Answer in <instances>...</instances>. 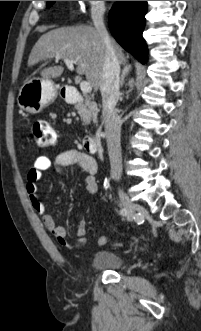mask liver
Here are the masks:
<instances>
[{
	"label": "liver",
	"instance_id": "obj_1",
	"mask_svg": "<svg viewBox=\"0 0 201 331\" xmlns=\"http://www.w3.org/2000/svg\"><path fill=\"white\" fill-rule=\"evenodd\" d=\"M119 64H123L128 71L127 59L122 48L111 39ZM106 46L101 34L89 26L62 27L43 34L34 45L28 66H34L40 61L54 58L57 54L62 59L73 60L76 72L85 75L94 91H97L103 82V64ZM62 65L49 67L40 72L45 79L58 78L62 75Z\"/></svg>",
	"mask_w": 201,
	"mask_h": 331
}]
</instances>
